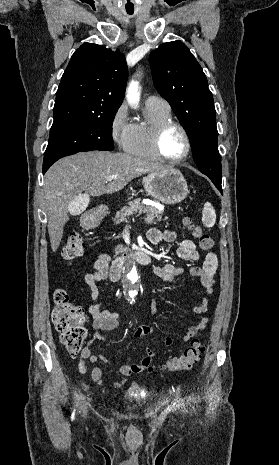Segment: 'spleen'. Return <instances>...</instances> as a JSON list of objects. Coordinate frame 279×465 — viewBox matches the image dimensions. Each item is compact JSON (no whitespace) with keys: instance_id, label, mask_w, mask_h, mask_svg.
I'll return each instance as SVG.
<instances>
[{"instance_id":"obj_1","label":"spleen","mask_w":279,"mask_h":465,"mask_svg":"<svg viewBox=\"0 0 279 465\" xmlns=\"http://www.w3.org/2000/svg\"><path fill=\"white\" fill-rule=\"evenodd\" d=\"M202 222L206 227H212L216 222L215 210L209 202L205 203L204 205L202 211Z\"/></svg>"}]
</instances>
